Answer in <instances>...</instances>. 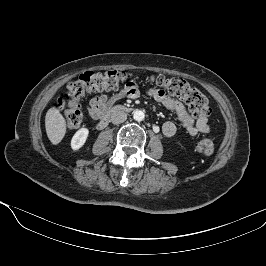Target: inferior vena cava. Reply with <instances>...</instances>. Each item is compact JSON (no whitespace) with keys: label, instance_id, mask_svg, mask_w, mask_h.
Wrapping results in <instances>:
<instances>
[{"label":"inferior vena cava","instance_id":"1","mask_svg":"<svg viewBox=\"0 0 266 266\" xmlns=\"http://www.w3.org/2000/svg\"><path fill=\"white\" fill-rule=\"evenodd\" d=\"M126 120H127V114L123 111H116L111 115V121L115 125L123 123Z\"/></svg>","mask_w":266,"mask_h":266}]
</instances>
